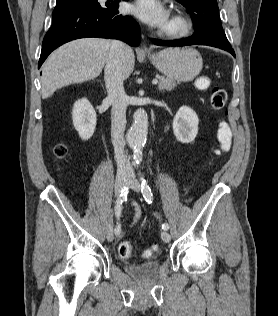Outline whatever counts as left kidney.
Instances as JSON below:
<instances>
[{"label": "left kidney", "instance_id": "5707ae66", "mask_svg": "<svg viewBox=\"0 0 278 316\" xmlns=\"http://www.w3.org/2000/svg\"><path fill=\"white\" fill-rule=\"evenodd\" d=\"M199 119L193 109L182 106L177 111L173 120V131L181 143L192 142L198 133Z\"/></svg>", "mask_w": 278, "mask_h": 316}]
</instances>
